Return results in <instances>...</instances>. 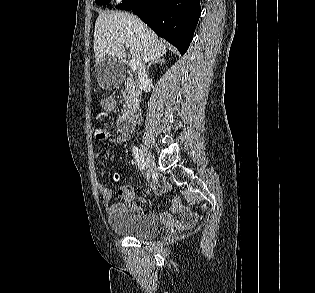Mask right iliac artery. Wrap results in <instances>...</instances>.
Returning a JSON list of instances; mask_svg holds the SVG:
<instances>
[{
	"label": "right iliac artery",
	"instance_id": "right-iliac-artery-1",
	"mask_svg": "<svg viewBox=\"0 0 315 293\" xmlns=\"http://www.w3.org/2000/svg\"><path fill=\"white\" fill-rule=\"evenodd\" d=\"M132 152L134 154V157L136 159L138 167L141 170H144L145 169V162H144L142 151L140 149H138L137 147L133 146Z\"/></svg>",
	"mask_w": 315,
	"mask_h": 293
}]
</instances>
